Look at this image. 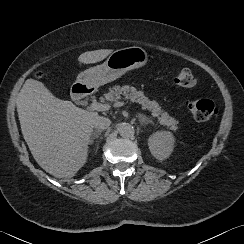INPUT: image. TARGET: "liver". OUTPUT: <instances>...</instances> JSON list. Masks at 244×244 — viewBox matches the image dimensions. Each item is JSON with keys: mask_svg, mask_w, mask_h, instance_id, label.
Returning a JSON list of instances; mask_svg holds the SVG:
<instances>
[{"mask_svg": "<svg viewBox=\"0 0 244 244\" xmlns=\"http://www.w3.org/2000/svg\"><path fill=\"white\" fill-rule=\"evenodd\" d=\"M112 53L100 49L82 53L83 64L99 62ZM23 137L36 162L57 178H71L84 166L97 112L55 97L42 82L28 79L17 99Z\"/></svg>", "mask_w": 244, "mask_h": 244, "instance_id": "1", "label": "liver"}]
</instances>
